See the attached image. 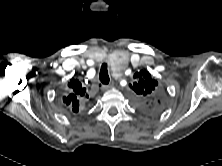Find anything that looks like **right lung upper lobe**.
Here are the masks:
<instances>
[{"instance_id": "1", "label": "right lung upper lobe", "mask_w": 222, "mask_h": 166, "mask_svg": "<svg viewBox=\"0 0 222 166\" xmlns=\"http://www.w3.org/2000/svg\"><path fill=\"white\" fill-rule=\"evenodd\" d=\"M69 86L71 88H73V90L75 91V94H79L81 89H80V86L81 84L79 83L78 80H74L72 79L69 83ZM75 94H71L72 98H70V102L73 103V106H74V109L78 110V106H79V102L77 100V96ZM78 105V106H76Z\"/></svg>"}]
</instances>
